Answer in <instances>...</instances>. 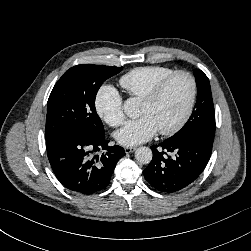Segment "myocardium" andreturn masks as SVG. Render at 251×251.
Segmentation results:
<instances>
[{
    "label": "myocardium",
    "mask_w": 251,
    "mask_h": 251,
    "mask_svg": "<svg viewBox=\"0 0 251 251\" xmlns=\"http://www.w3.org/2000/svg\"><path fill=\"white\" fill-rule=\"evenodd\" d=\"M179 76L186 77L190 83L189 101H188L187 107H186L182 117L175 125H173L170 128H167V129L158 130L159 134H161V135H165V136L173 135V134L177 133L178 131H180L184 127V125L188 122V120L193 112L196 98H197V82H196L195 77L188 71H184V70L175 71L174 73H172L171 75H169L168 77L163 79L161 82H159L155 87H153L151 89V91L146 96H144L141 99L142 102L145 104L154 103L162 95V93L165 91V89L168 87V85L175 78H177Z\"/></svg>",
    "instance_id": "1"
}]
</instances>
